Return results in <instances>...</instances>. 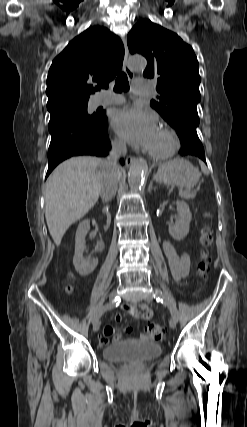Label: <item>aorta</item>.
I'll use <instances>...</instances> for the list:
<instances>
[{
	"label": "aorta",
	"mask_w": 247,
	"mask_h": 427,
	"mask_svg": "<svg viewBox=\"0 0 247 427\" xmlns=\"http://www.w3.org/2000/svg\"><path fill=\"white\" fill-rule=\"evenodd\" d=\"M128 64L131 69L140 70L145 68L146 60L142 56H132L129 58ZM146 169V163L141 160H136L130 165L128 171V184L133 191L141 188Z\"/></svg>",
	"instance_id": "obj_1"
}]
</instances>
